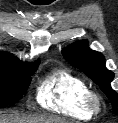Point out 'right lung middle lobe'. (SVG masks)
Instances as JSON below:
<instances>
[{"label":"right lung middle lobe","instance_id":"obj_1","mask_svg":"<svg viewBox=\"0 0 118 123\" xmlns=\"http://www.w3.org/2000/svg\"><path fill=\"white\" fill-rule=\"evenodd\" d=\"M35 70L0 63V106L15 103L26 93Z\"/></svg>","mask_w":118,"mask_h":123}]
</instances>
